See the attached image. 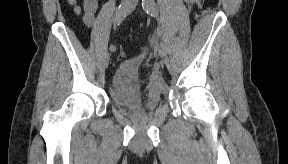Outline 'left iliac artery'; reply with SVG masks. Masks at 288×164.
I'll return each instance as SVG.
<instances>
[{"instance_id":"obj_1","label":"left iliac artery","mask_w":288,"mask_h":164,"mask_svg":"<svg viewBox=\"0 0 288 164\" xmlns=\"http://www.w3.org/2000/svg\"><path fill=\"white\" fill-rule=\"evenodd\" d=\"M142 7L147 14L154 17L155 19H158V12L154 0H142ZM156 39L159 42L160 48H163L164 43L161 40V29L159 27L156 29Z\"/></svg>"}]
</instances>
